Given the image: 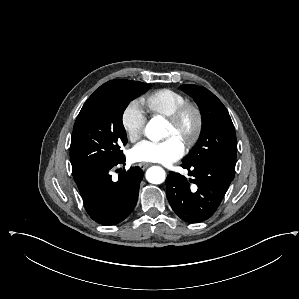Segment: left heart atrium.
Instances as JSON below:
<instances>
[{
	"instance_id": "1",
	"label": "left heart atrium",
	"mask_w": 299,
	"mask_h": 299,
	"mask_svg": "<svg viewBox=\"0 0 299 299\" xmlns=\"http://www.w3.org/2000/svg\"><path fill=\"white\" fill-rule=\"evenodd\" d=\"M184 151L183 143L176 137H170L160 142L143 140L130 150L129 157L134 162H157L168 165L179 160Z\"/></svg>"
}]
</instances>
